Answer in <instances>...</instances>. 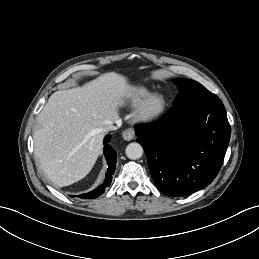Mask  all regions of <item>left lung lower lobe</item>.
Segmentation results:
<instances>
[{
	"label": "left lung lower lobe",
	"mask_w": 259,
	"mask_h": 259,
	"mask_svg": "<svg viewBox=\"0 0 259 259\" xmlns=\"http://www.w3.org/2000/svg\"><path fill=\"white\" fill-rule=\"evenodd\" d=\"M135 131L157 188L168 196L189 195L209 185L223 164L231 133L219 98L168 111Z\"/></svg>",
	"instance_id": "obj_1"
}]
</instances>
